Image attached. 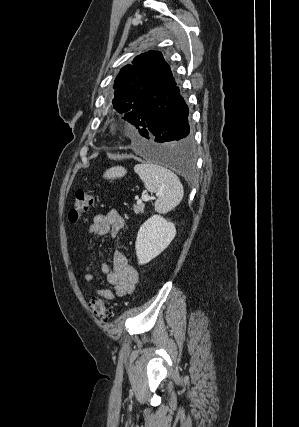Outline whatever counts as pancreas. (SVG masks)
<instances>
[{
	"mask_svg": "<svg viewBox=\"0 0 299 427\" xmlns=\"http://www.w3.org/2000/svg\"><path fill=\"white\" fill-rule=\"evenodd\" d=\"M144 207H145L144 203L141 200L140 201L138 200L137 204L134 205V212L136 214L143 213L144 212Z\"/></svg>",
	"mask_w": 299,
	"mask_h": 427,
	"instance_id": "pancreas-1",
	"label": "pancreas"
}]
</instances>
